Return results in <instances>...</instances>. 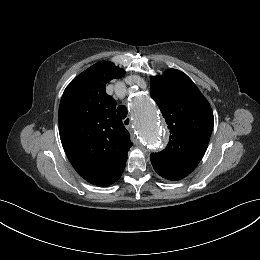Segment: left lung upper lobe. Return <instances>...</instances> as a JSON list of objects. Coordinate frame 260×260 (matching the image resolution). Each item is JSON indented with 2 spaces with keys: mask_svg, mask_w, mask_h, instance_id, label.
Wrapping results in <instances>:
<instances>
[{
  "mask_svg": "<svg viewBox=\"0 0 260 260\" xmlns=\"http://www.w3.org/2000/svg\"><path fill=\"white\" fill-rule=\"evenodd\" d=\"M151 97L170 130L168 146L152 153L151 163L161 177L183 179L205 154L214 123L212 109L194 82L176 69L151 77Z\"/></svg>",
  "mask_w": 260,
  "mask_h": 260,
  "instance_id": "1",
  "label": "left lung upper lobe"
}]
</instances>
